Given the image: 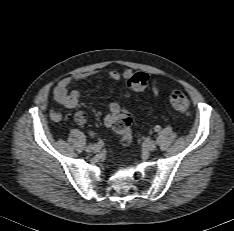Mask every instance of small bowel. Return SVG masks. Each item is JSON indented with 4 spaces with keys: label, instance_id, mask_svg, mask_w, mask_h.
I'll list each match as a JSON object with an SVG mask.
<instances>
[{
    "label": "small bowel",
    "instance_id": "small-bowel-1",
    "mask_svg": "<svg viewBox=\"0 0 234 231\" xmlns=\"http://www.w3.org/2000/svg\"><path fill=\"white\" fill-rule=\"evenodd\" d=\"M98 74V71H88L78 73L61 79L54 88L53 95L55 101L66 108L76 107L81 99V93L79 90L74 89V85L78 82L92 78ZM132 72L126 70L120 72L118 70L109 71V77L115 81L120 82L123 78L130 79ZM152 90L155 95L159 94V85L156 81L152 83ZM121 111V104L119 100L113 101L109 105V112L104 118V124L107 127H114L117 117ZM50 117L53 121H59L62 115L58 109H53L50 112ZM74 120L77 124L82 125L86 121V116L82 111H78L74 114Z\"/></svg>",
    "mask_w": 234,
    "mask_h": 231
}]
</instances>
